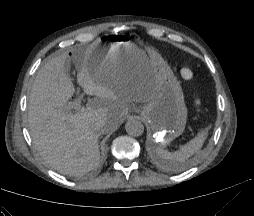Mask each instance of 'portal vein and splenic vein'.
<instances>
[{
  "mask_svg": "<svg viewBox=\"0 0 254 216\" xmlns=\"http://www.w3.org/2000/svg\"><path fill=\"white\" fill-rule=\"evenodd\" d=\"M81 100L79 98L75 99L72 102H69L67 109H75L76 112H79L81 110Z\"/></svg>",
  "mask_w": 254,
  "mask_h": 216,
  "instance_id": "obj_1",
  "label": "portal vein and splenic vein"
}]
</instances>
